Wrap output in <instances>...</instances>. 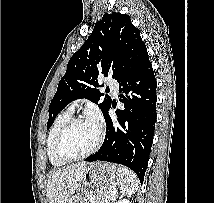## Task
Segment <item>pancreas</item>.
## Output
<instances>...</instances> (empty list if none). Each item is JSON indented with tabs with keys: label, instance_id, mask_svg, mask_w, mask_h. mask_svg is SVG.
Masks as SVG:
<instances>
[{
	"label": "pancreas",
	"instance_id": "obj_1",
	"mask_svg": "<svg viewBox=\"0 0 214 203\" xmlns=\"http://www.w3.org/2000/svg\"><path fill=\"white\" fill-rule=\"evenodd\" d=\"M114 200V196L111 194V190L107 191L101 198L100 203H111ZM80 203H94L92 197L82 200Z\"/></svg>",
	"mask_w": 214,
	"mask_h": 203
}]
</instances>
